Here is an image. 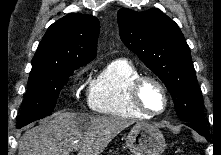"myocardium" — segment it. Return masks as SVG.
Returning a JSON list of instances; mask_svg holds the SVG:
<instances>
[{"instance_id": "1", "label": "myocardium", "mask_w": 221, "mask_h": 155, "mask_svg": "<svg viewBox=\"0 0 221 155\" xmlns=\"http://www.w3.org/2000/svg\"><path fill=\"white\" fill-rule=\"evenodd\" d=\"M148 82L155 84L161 90L163 94L164 107L160 111L149 110L142 101L141 91H142L143 86ZM129 97L134 108L149 117L159 116L165 113L166 110L168 109L169 101H170L169 93L165 85L156 77L149 76V75H141L137 79L134 80V82L130 86Z\"/></svg>"}]
</instances>
